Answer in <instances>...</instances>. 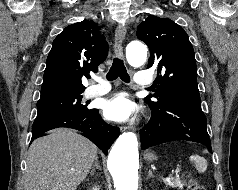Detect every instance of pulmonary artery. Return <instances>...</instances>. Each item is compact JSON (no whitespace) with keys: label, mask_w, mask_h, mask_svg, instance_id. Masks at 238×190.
<instances>
[{"label":"pulmonary artery","mask_w":238,"mask_h":190,"mask_svg":"<svg viewBox=\"0 0 238 190\" xmlns=\"http://www.w3.org/2000/svg\"><path fill=\"white\" fill-rule=\"evenodd\" d=\"M97 85L90 86L85 90V97L92 98L102 96L108 93L111 89L109 83L103 81L101 78H96ZM135 82L139 86L147 87L153 83V77L148 71H140L136 74Z\"/></svg>","instance_id":"pulmonary-artery-1"}]
</instances>
